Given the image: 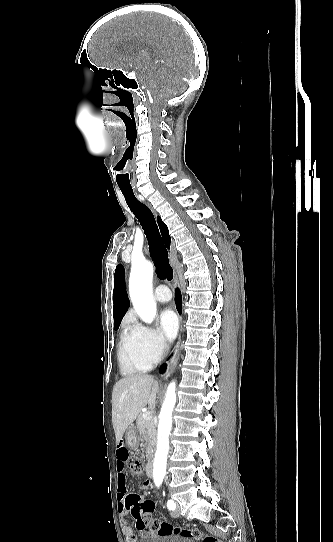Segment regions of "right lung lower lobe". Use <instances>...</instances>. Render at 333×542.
<instances>
[{
	"instance_id": "98d812e1",
	"label": "right lung lower lobe",
	"mask_w": 333,
	"mask_h": 542,
	"mask_svg": "<svg viewBox=\"0 0 333 542\" xmlns=\"http://www.w3.org/2000/svg\"><path fill=\"white\" fill-rule=\"evenodd\" d=\"M175 301H176L177 310L180 313L181 312V294H180V291L178 289L176 290ZM166 368H167V364H163L161 366V368H160V372L163 373L166 370Z\"/></svg>"
}]
</instances>
